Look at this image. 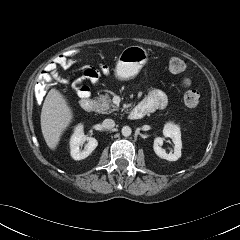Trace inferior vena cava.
Wrapping results in <instances>:
<instances>
[{"label":"inferior vena cava","mask_w":240,"mask_h":240,"mask_svg":"<svg viewBox=\"0 0 240 240\" xmlns=\"http://www.w3.org/2000/svg\"><path fill=\"white\" fill-rule=\"evenodd\" d=\"M114 126H115V122H114V120H112V119H105V120L102 122V127H103L104 129H112Z\"/></svg>","instance_id":"inferior-vena-cava-1"}]
</instances>
